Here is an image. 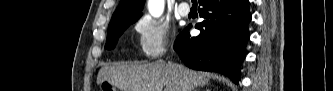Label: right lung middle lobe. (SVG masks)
<instances>
[{
    "mask_svg": "<svg viewBox=\"0 0 333 91\" xmlns=\"http://www.w3.org/2000/svg\"><path fill=\"white\" fill-rule=\"evenodd\" d=\"M139 18L140 17H132L110 22L105 48L113 49L121 34L130 26V24H133Z\"/></svg>",
    "mask_w": 333,
    "mask_h": 91,
    "instance_id": "obj_1",
    "label": "right lung middle lobe"
}]
</instances>
